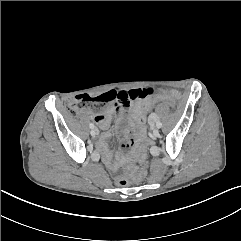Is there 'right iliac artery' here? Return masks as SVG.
I'll use <instances>...</instances> for the list:
<instances>
[{
    "instance_id": "82829eb1",
    "label": "right iliac artery",
    "mask_w": 241,
    "mask_h": 241,
    "mask_svg": "<svg viewBox=\"0 0 241 241\" xmlns=\"http://www.w3.org/2000/svg\"><path fill=\"white\" fill-rule=\"evenodd\" d=\"M89 127H90L91 129H93L95 126H94L93 123H90V124H89Z\"/></svg>"
}]
</instances>
